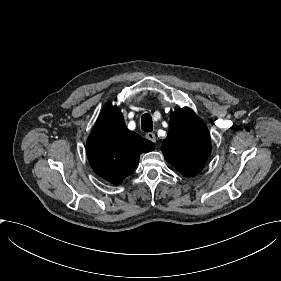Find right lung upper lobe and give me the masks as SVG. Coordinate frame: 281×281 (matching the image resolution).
<instances>
[{
    "label": "right lung upper lobe",
    "instance_id": "right-lung-upper-lobe-1",
    "mask_svg": "<svg viewBox=\"0 0 281 281\" xmlns=\"http://www.w3.org/2000/svg\"><path fill=\"white\" fill-rule=\"evenodd\" d=\"M155 145L128 130L117 106L108 105L101 112L87 140V157L95 173L119 185L132 174L143 152Z\"/></svg>",
    "mask_w": 281,
    "mask_h": 281
}]
</instances>
